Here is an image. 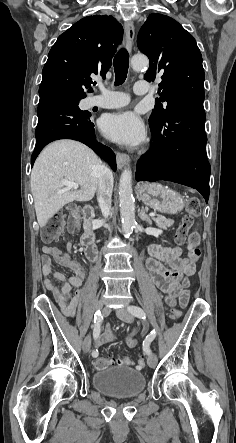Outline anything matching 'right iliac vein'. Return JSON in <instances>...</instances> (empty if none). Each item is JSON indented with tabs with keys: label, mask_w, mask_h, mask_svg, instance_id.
Segmentation results:
<instances>
[{
	"label": "right iliac vein",
	"mask_w": 236,
	"mask_h": 443,
	"mask_svg": "<svg viewBox=\"0 0 236 443\" xmlns=\"http://www.w3.org/2000/svg\"><path fill=\"white\" fill-rule=\"evenodd\" d=\"M110 312H111V309H110L109 306L104 307L103 310H102L103 316H108L110 314ZM82 348H83L84 352H86V353L89 352V350L91 348V336H90V334H88L85 337V339L83 341Z\"/></svg>",
	"instance_id": "right-iliac-vein-1"
}]
</instances>
